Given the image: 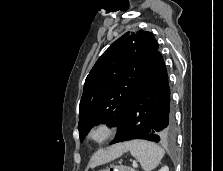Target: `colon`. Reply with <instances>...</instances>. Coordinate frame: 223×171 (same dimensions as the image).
<instances>
[{"label":"colon","mask_w":223,"mask_h":171,"mask_svg":"<svg viewBox=\"0 0 223 171\" xmlns=\"http://www.w3.org/2000/svg\"><path fill=\"white\" fill-rule=\"evenodd\" d=\"M102 171H131L128 167L123 165H113Z\"/></svg>","instance_id":"colon-1"}]
</instances>
